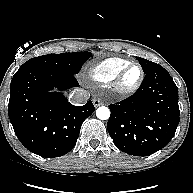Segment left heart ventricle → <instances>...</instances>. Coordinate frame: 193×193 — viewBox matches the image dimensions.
Masks as SVG:
<instances>
[{
    "instance_id": "obj_1",
    "label": "left heart ventricle",
    "mask_w": 193,
    "mask_h": 193,
    "mask_svg": "<svg viewBox=\"0 0 193 193\" xmlns=\"http://www.w3.org/2000/svg\"><path fill=\"white\" fill-rule=\"evenodd\" d=\"M140 76V70L138 67H132L125 75L123 83L126 86L133 85Z\"/></svg>"
}]
</instances>
